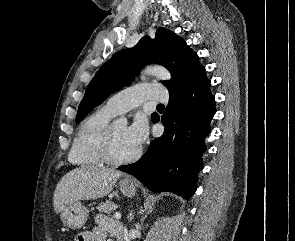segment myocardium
Segmentation results:
<instances>
[{"instance_id":"obj_1","label":"myocardium","mask_w":295,"mask_h":241,"mask_svg":"<svg viewBox=\"0 0 295 241\" xmlns=\"http://www.w3.org/2000/svg\"><path fill=\"white\" fill-rule=\"evenodd\" d=\"M114 123H110L108 128L106 129L104 136L99 144V155L103 162L118 166L125 165L138 160L142 154V148L139 147L138 150L131 156L125 158H117L113 155L112 147H113V138H114Z\"/></svg>"}]
</instances>
